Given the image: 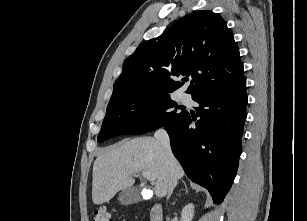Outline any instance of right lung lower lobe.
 <instances>
[{"label":"right lung lower lobe","instance_id":"obj_1","mask_svg":"<svg viewBox=\"0 0 307 221\" xmlns=\"http://www.w3.org/2000/svg\"><path fill=\"white\" fill-rule=\"evenodd\" d=\"M200 120L192 127L186 112L164 126L172 151L186 175L220 204L236 176L246 119V82L238 87L193 98Z\"/></svg>","mask_w":307,"mask_h":221}]
</instances>
